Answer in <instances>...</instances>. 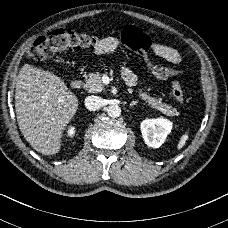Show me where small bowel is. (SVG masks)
Wrapping results in <instances>:
<instances>
[{
    "instance_id": "obj_1",
    "label": "small bowel",
    "mask_w": 228,
    "mask_h": 228,
    "mask_svg": "<svg viewBox=\"0 0 228 228\" xmlns=\"http://www.w3.org/2000/svg\"><path fill=\"white\" fill-rule=\"evenodd\" d=\"M121 38L126 46H135L140 51L147 67L156 78L167 80L173 77L177 72L154 64L147 53V51L150 50L154 55L177 65L181 62L182 57L179 51L175 48L155 41L152 42L151 38L143 30L132 26H128L123 30ZM121 38L109 36L101 39L94 47V53L96 55H102L115 51L121 44H123ZM122 75L126 82L131 81L134 84L137 80L136 75L128 66L123 68Z\"/></svg>"
}]
</instances>
